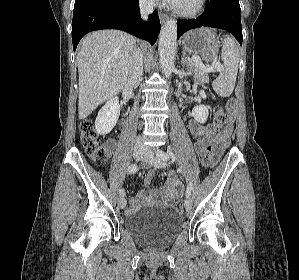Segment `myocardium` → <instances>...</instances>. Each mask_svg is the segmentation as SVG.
Masks as SVG:
<instances>
[{"label": "myocardium", "instance_id": "obj_1", "mask_svg": "<svg viewBox=\"0 0 299 280\" xmlns=\"http://www.w3.org/2000/svg\"><path fill=\"white\" fill-rule=\"evenodd\" d=\"M206 4V0H197L196 5L191 9H182L176 4H172V11L181 17H194L202 12Z\"/></svg>", "mask_w": 299, "mask_h": 280}]
</instances>
